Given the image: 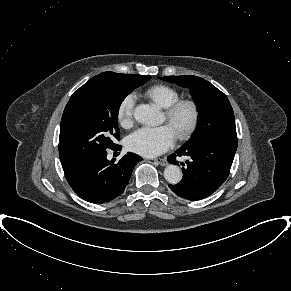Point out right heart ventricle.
Wrapping results in <instances>:
<instances>
[{
    "mask_svg": "<svg viewBox=\"0 0 291 291\" xmlns=\"http://www.w3.org/2000/svg\"><path fill=\"white\" fill-rule=\"evenodd\" d=\"M145 96L163 109L170 107L180 99L179 91L165 84L150 87L145 91Z\"/></svg>",
    "mask_w": 291,
    "mask_h": 291,
    "instance_id": "1",
    "label": "right heart ventricle"
}]
</instances>
